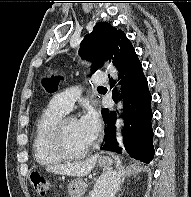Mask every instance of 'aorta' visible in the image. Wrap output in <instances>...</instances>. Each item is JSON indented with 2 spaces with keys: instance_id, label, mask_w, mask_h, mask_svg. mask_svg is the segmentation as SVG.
I'll use <instances>...</instances> for the list:
<instances>
[{
  "instance_id": "obj_1",
  "label": "aorta",
  "mask_w": 191,
  "mask_h": 197,
  "mask_svg": "<svg viewBox=\"0 0 191 197\" xmlns=\"http://www.w3.org/2000/svg\"><path fill=\"white\" fill-rule=\"evenodd\" d=\"M107 70L110 73V75L113 77V79L117 80L118 78V71L115 68V66L112 63H107L106 64ZM118 83V82H117ZM119 87V85L117 86ZM117 109H118V114H117V121H116V135H117V140L119 143L122 141V127H123V119L121 117L122 114V109H123V104L121 101L118 102L117 104ZM111 178V177H110ZM109 178V179H110ZM100 196V192H97V197Z\"/></svg>"
}]
</instances>
